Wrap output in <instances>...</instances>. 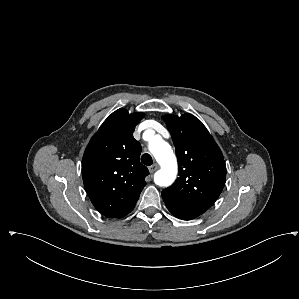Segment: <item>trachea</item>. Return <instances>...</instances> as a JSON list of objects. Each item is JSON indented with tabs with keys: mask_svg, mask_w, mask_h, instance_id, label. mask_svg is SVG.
Masks as SVG:
<instances>
[{
	"mask_svg": "<svg viewBox=\"0 0 299 299\" xmlns=\"http://www.w3.org/2000/svg\"><path fill=\"white\" fill-rule=\"evenodd\" d=\"M141 162L147 166H150L153 163V159L149 154L145 153L141 157Z\"/></svg>",
	"mask_w": 299,
	"mask_h": 299,
	"instance_id": "obj_1",
	"label": "trachea"
}]
</instances>
